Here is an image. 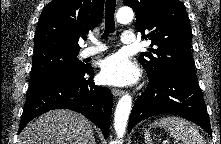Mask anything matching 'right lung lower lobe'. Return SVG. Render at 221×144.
<instances>
[{
  "instance_id": "98d812e1",
  "label": "right lung lower lobe",
  "mask_w": 221,
  "mask_h": 144,
  "mask_svg": "<svg viewBox=\"0 0 221 144\" xmlns=\"http://www.w3.org/2000/svg\"><path fill=\"white\" fill-rule=\"evenodd\" d=\"M93 76V68L84 66L78 70L53 73L30 84L18 133L40 114L54 109H71L99 126L107 138L113 96L109 89L96 86Z\"/></svg>"
}]
</instances>
